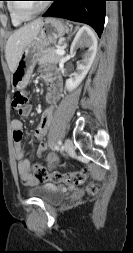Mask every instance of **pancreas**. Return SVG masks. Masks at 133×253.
Listing matches in <instances>:
<instances>
[{"label":"pancreas","mask_w":133,"mask_h":253,"mask_svg":"<svg viewBox=\"0 0 133 253\" xmlns=\"http://www.w3.org/2000/svg\"><path fill=\"white\" fill-rule=\"evenodd\" d=\"M62 58V55H59L56 53V50L53 48H47L41 51L38 63L44 64V63H54L57 64Z\"/></svg>","instance_id":"1"}]
</instances>
